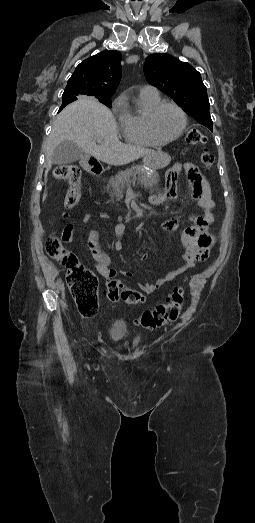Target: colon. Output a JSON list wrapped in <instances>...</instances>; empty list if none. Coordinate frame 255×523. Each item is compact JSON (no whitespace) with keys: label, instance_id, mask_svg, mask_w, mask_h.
I'll use <instances>...</instances> for the list:
<instances>
[{"label":"colon","instance_id":"colon-1","mask_svg":"<svg viewBox=\"0 0 255 523\" xmlns=\"http://www.w3.org/2000/svg\"><path fill=\"white\" fill-rule=\"evenodd\" d=\"M206 140L202 132L197 128H191L185 138L189 145H198ZM202 163L210 168L214 163V156L205 149L201 155ZM57 180L67 181V190L64 207L72 208L80 199L81 172L77 166L63 165L54 171ZM47 254L60 263L66 272V283L69 291L83 316H94L98 311V280L96 275L86 268L79 258L68 250L55 234H51L46 240ZM107 297L112 302L124 301L129 305L141 303L144 296L137 290H124L116 280L107 284ZM184 292L181 287H176L169 299L157 305L153 310L145 311L139 318V323L147 329H156L175 322L182 310Z\"/></svg>","mask_w":255,"mask_h":523}]
</instances>
